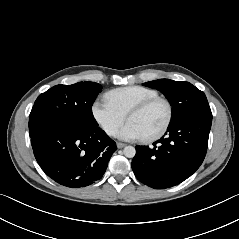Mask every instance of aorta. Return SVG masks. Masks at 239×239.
Wrapping results in <instances>:
<instances>
[{
  "mask_svg": "<svg viewBox=\"0 0 239 239\" xmlns=\"http://www.w3.org/2000/svg\"><path fill=\"white\" fill-rule=\"evenodd\" d=\"M123 153L128 158H133L136 154V150L133 146H126L123 150Z\"/></svg>",
  "mask_w": 239,
  "mask_h": 239,
  "instance_id": "obj_1",
  "label": "aorta"
}]
</instances>
